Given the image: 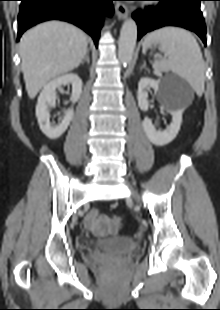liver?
<instances>
[{"label": "liver", "mask_w": 220, "mask_h": 310, "mask_svg": "<svg viewBox=\"0 0 220 310\" xmlns=\"http://www.w3.org/2000/svg\"><path fill=\"white\" fill-rule=\"evenodd\" d=\"M85 33L60 21H49L27 31L20 40V56L30 99L52 79L77 68L87 52Z\"/></svg>", "instance_id": "1"}]
</instances>
